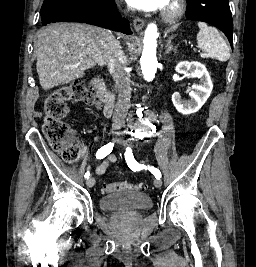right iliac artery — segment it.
I'll return each instance as SVG.
<instances>
[{
	"label": "right iliac artery",
	"mask_w": 256,
	"mask_h": 267,
	"mask_svg": "<svg viewBox=\"0 0 256 267\" xmlns=\"http://www.w3.org/2000/svg\"><path fill=\"white\" fill-rule=\"evenodd\" d=\"M113 146H114V143H108L107 145L101 147L96 153V158L103 159L104 157H106L108 154L111 153ZM89 176H90L89 172H86L84 175L86 179H88Z\"/></svg>",
	"instance_id": "1"
}]
</instances>
